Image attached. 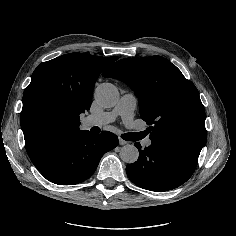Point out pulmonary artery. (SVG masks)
Instances as JSON below:
<instances>
[{"mask_svg":"<svg viewBox=\"0 0 236 236\" xmlns=\"http://www.w3.org/2000/svg\"><path fill=\"white\" fill-rule=\"evenodd\" d=\"M137 106V98L133 93H128L120 97L116 105L109 112L104 113L108 122L114 121L116 118L123 119V126L125 128H132L134 126V110ZM150 139H145L144 147L151 145Z\"/></svg>","mask_w":236,"mask_h":236,"instance_id":"obj_1","label":"pulmonary artery"}]
</instances>
